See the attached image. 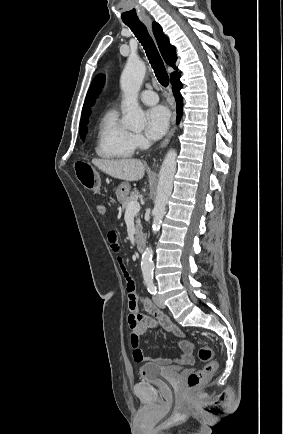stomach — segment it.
<instances>
[{
  "label": "stomach",
  "mask_w": 283,
  "mask_h": 434,
  "mask_svg": "<svg viewBox=\"0 0 283 434\" xmlns=\"http://www.w3.org/2000/svg\"><path fill=\"white\" fill-rule=\"evenodd\" d=\"M130 185L126 182L121 183L116 189L117 199L120 203H123L129 195Z\"/></svg>",
  "instance_id": "1"
}]
</instances>
